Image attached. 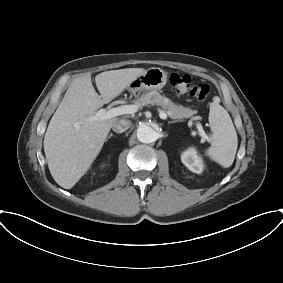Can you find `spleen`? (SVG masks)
I'll use <instances>...</instances> for the list:
<instances>
[{"label":"spleen","instance_id":"obj_1","mask_svg":"<svg viewBox=\"0 0 283 283\" xmlns=\"http://www.w3.org/2000/svg\"><path fill=\"white\" fill-rule=\"evenodd\" d=\"M209 124L212 142L205 154L222 167L228 168L234 162L238 138L231 117L216 100L210 104Z\"/></svg>","mask_w":283,"mask_h":283}]
</instances>
